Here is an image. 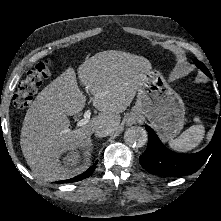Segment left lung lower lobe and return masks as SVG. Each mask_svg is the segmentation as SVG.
Returning <instances> with one entry per match:
<instances>
[{"label":"left lung lower lobe","instance_id":"left-lung-lower-lobe-1","mask_svg":"<svg viewBox=\"0 0 221 221\" xmlns=\"http://www.w3.org/2000/svg\"><path fill=\"white\" fill-rule=\"evenodd\" d=\"M145 128L149 133V141L139 161L151 174L164 177L192 174L202 167L216 148L221 147V117L209 145L195 154H178L168 150L149 126L146 125Z\"/></svg>","mask_w":221,"mask_h":221}]
</instances>
